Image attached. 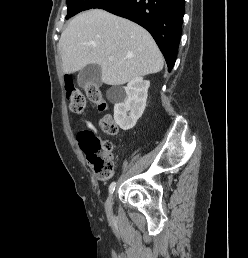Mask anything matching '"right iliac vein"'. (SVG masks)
<instances>
[{
	"label": "right iliac vein",
	"mask_w": 248,
	"mask_h": 258,
	"mask_svg": "<svg viewBox=\"0 0 248 258\" xmlns=\"http://www.w3.org/2000/svg\"><path fill=\"white\" fill-rule=\"evenodd\" d=\"M114 195L113 193L110 195V197L107 200V209H110L112 202H113Z\"/></svg>",
	"instance_id": "1"
}]
</instances>
